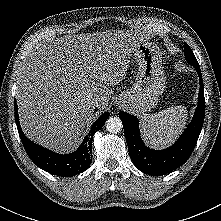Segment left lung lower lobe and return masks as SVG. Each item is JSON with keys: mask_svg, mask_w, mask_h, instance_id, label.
Instances as JSON below:
<instances>
[{"mask_svg": "<svg viewBox=\"0 0 221 221\" xmlns=\"http://www.w3.org/2000/svg\"><path fill=\"white\" fill-rule=\"evenodd\" d=\"M199 79L200 89L198 106L193 120L180 138L165 150H153L144 145L140 137L138 119L126 112L120 111L129 154L135 166L143 173L161 176L172 172L183 165L192 154L200 135L205 115V98L203 79L200 67H195Z\"/></svg>", "mask_w": 221, "mask_h": 221, "instance_id": "0a47b994", "label": "left lung lower lobe"}]
</instances>
